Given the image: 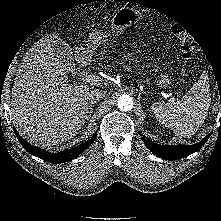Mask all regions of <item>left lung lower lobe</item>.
<instances>
[{"mask_svg":"<svg viewBox=\"0 0 221 221\" xmlns=\"http://www.w3.org/2000/svg\"><path fill=\"white\" fill-rule=\"evenodd\" d=\"M211 133L194 145H158L143 137L147 148L157 157L165 160H178L198 151L209 139Z\"/></svg>","mask_w":221,"mask_h":221,"instance_id":"left-lung-lower-lobe-1","label":"left lung lower lobe"}]
</instances>
